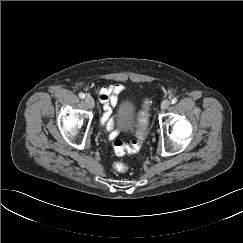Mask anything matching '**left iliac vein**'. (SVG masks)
Returning <instances> with one entry per match:
<instances>
[{"label": "left iliac vein", "mask_w": 243, "mask_h": 243, "mask_svg": "<svg viewBox=\"0 0 243 243\" xmlns=\"http://www.w3.org/2000/svg\"><path fill=\"white\" fill-rule=\"evenodd\" d=\"M170 105V101L168 99H165L161 103V109H167Z\"/></svg>", "instance_id": "left-iliac-vein-1"}]
</instances>
